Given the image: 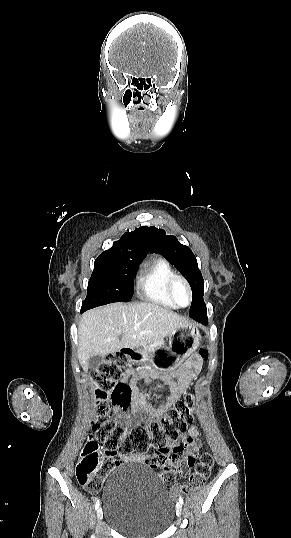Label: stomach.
Masks as SVG:
<instances>
[{"label":"stomach","instance_id":"0dacf381","mask_svg":"<svg viewBox=\"0 0 291 538\" xmlns=\"http://www.w3.org/2000/svg\"><path fill=\"white\" fill-rule=\"evenodd\" d=\"M200 332L194 324L181 326L169 335V346H159L153 351L134 349L127 359L131 364H152L162 374H170L178 363H186V356L193 354L200 343Z\"/></svg>","mask_w":291,"mask_h":538}]
</instances>
